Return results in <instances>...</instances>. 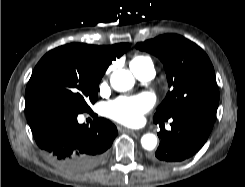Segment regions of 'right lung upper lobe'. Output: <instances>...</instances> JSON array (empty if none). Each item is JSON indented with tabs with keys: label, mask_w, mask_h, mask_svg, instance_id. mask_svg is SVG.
Wrapping results in <instances>:
<instances>
[{
	"label": "right lung upper lobe",
	"mask_w": 245,
	"mask_h": 187,
	"mask_svg": "<svg viewBox=\"0 0 245 187\" xmlns=\"http://www.w3.org/2000/svg\"><path fill=\"white\" fill-rule=\"evenodd\" d=\"M82 46L105 71L112 60H116V58H119L130 48V45L127 43H120L112 46H92L86 44H82Z\"/></svg>",
	"instance_id": "cb5924a9"
}]
</instances>
